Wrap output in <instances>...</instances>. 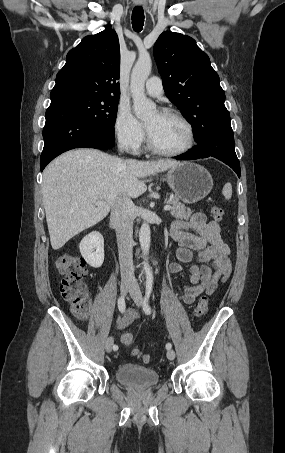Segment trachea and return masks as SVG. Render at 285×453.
<instances>
[{"mask_svg": "<svg viewBox=\"0 0 285 453\" xmlns=\"http://www.w3.org/2000/svg\"><path fill=\"white\" fill-rule=\"evenodd\" d=\"M144 25V11L141 6H137L132 11V27L135 32H141Z\"/></svg>", "mask_w": 285, "mask_h": 453, "instance_id": "obj_1", "label": "trachea"}]
</instances>
